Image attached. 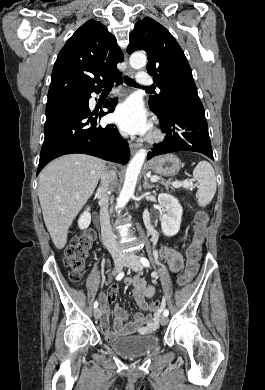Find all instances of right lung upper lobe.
Here are the masks:
<instances>
[{
    "instance_id": "1",
    "label": "right lung upper lobe",
    "mask_w": 265,
    "mask_h": 390,
    "mask_svg": "<svg viewBox=\"0 0 265 390\" xmlns=\"http://www.w3.org/2000/svg\"><path fill=\"white\" fill-rule=\"evenodd\" d=\"M123 54L116 38L95 20L85 22L65 43L53 67L48 101L90 94L120 75Z\"/></svg>"
}]
</instances>
